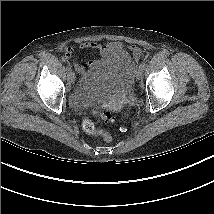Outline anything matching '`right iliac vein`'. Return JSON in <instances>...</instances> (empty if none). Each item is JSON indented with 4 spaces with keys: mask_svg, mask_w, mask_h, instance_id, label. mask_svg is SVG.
Returning <instances> with one entry per match:
<instances>
[{
    "mask_svg": "<svg viewBox=\"0 0 214 214\" xmlns=\"http://www.w3.org/2000/svg\"><path fill=\"white\" fill-rule=\"evenodd\" d=\"M68 80H69L71 83H74V81H75V74H74V72H72L70 69H69V72H68Z\"/></svg>",
    "mask_w": 214,
    "mask_h": 214,
    "instance_id": "63e3f726",
    "label": "right iliac vein"
}]
</instances>
